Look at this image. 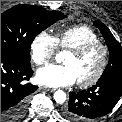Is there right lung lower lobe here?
I'll return each instance as SVG.
<instances>
[{
  "mask_svg": "<svg viewBox=\"0 0 122 122\" xmlns=\"http://www.w3.org/2000/svg\"><path fill=\"white\" fill-rule=\"evenodd\" d=\"M32 74L30 63L1 50V122H18L25 115L29 95L38 88L26 83Z\"/></svg>",
  "mask_w": 122,
  "mask_h": 122,
  "instance_id": "1",
  "label": "right lung lower lobe"
}]
</instances>
